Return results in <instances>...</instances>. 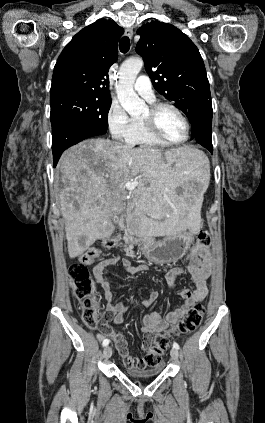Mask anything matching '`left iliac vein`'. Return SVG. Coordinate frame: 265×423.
<instances>
[{
  "label": "left iliac vein",
  "mask_w": 265,
  "mask_h": 423,
  "mask_svg": "<svg viewBox=\"0 0 265 423\" xmlns=\"http://www.w3.org/2000/svg\"><path fill=\"white\" fill-rule=\"evenodd\" d=\"M171 358L176 361L179 357V351L176 348H172L170 351Z\"/></svg>",
  "instance_id": "obj_1"
}]
</instances>
